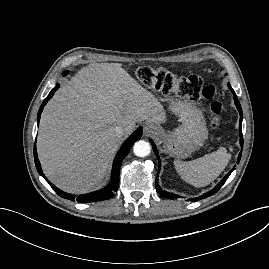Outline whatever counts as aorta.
<instances>
[{
	"label": "aorta",
	"mask_w": 269,
	"mask_h": 269,
	"mask_svg": "<svg viewBox=\"0 0 269 269\" xmlns=\"http://www.w3.org/2000/svg\"><path fill=\"white\" fill-rule=\"evenodd\" d=\"M133 151L136 156L145 157L151 151V146L144 140L137 141L133 146Z\"/></svg>",
	"instance_id": "762f6f07"
}]
</instances>
